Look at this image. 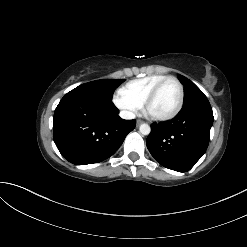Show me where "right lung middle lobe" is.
Instances as JSON below:
<instances>
[{"label":"right lung middle lobe","mask_w":247,"mask_h":247,"mask_svg":"<svg viewBox=\"0 0 247 247\" xmlns=\"http://www.w3.org/2000/svg\"><path fill=\"white\" fill-rule=\"evenodd\" d=\"M124 81V79L96 80L82 84L68 94H79L111 101L114 90Z\"/></svg>","instance_id":"right-lung-middle-lobe-1"}]
</instances>
